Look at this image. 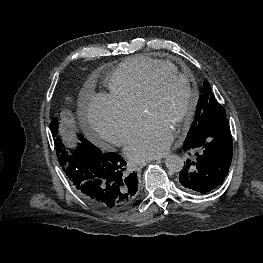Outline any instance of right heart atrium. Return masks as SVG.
I'll use <instances>...</instances> for the list:
<instances>
[{
	"instance_id": "obj_1",
	"label": "right heart atrium",
	"mask_w": 263,
	"mask_h": 263,
	"mask_svg": "<svg viewBox=\"0 0 263 263\" xmlns=\"http://www.w3.org/2000/svg\"><path fill=\"white\" fill-rule=\"evenodd\" d=\"M87 117L90 129L97 138L123 145L139 123L141 112L111 94L99 93L88 104Z\"/></svg>"
}]
</instances>
